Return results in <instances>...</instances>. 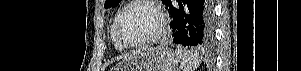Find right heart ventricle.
<instances>
[{
    "label": "right heart ventricle",
    "mask_w": 301,
    "mask_h": 71,
    "mask_svg": "<svg viewBox=\"0 0 301 71\" xmlns=\"http://www.w3.org/2000/svg\"><path fill=\"white\" fill-rule=\"evenodd\" d=\"M114 22H115V20H114ZM114 22L111 25V29H110L111 39H112V42H113V45H114L115 49L118 50V51H122V50H124V47L117 41V39L115 37Z\"/></svg>",
    "instance_id": "obj_1"
}]
</instances>
